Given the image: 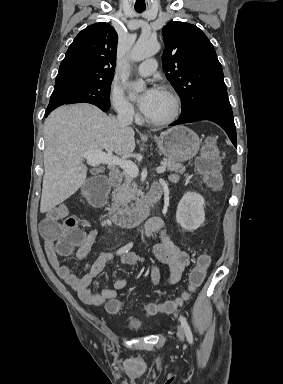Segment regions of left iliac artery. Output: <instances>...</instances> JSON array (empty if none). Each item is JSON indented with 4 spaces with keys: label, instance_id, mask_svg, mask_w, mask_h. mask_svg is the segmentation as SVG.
I'll use <instances>...</instances> for the list:
<instances>
[{
    "label": "left iliac artery",
    "instance_id": "left-iliac-artery-1",
    "mask_svg": "<svg viewBox=\"0 0 283 384\" xmlns=\"http://www.w3.org/2000/svg\"><path fill=\"white\" fill-rule=\"evenodd\" d=\"M183 328H184V331H185V334H186V338L188 340V342L190 344L193 343V335H192V332H191V329H190V326L186 320V318L184 316H180L179 318Z\"/></svg>",
    "mask_w": 283,
    "mask_h": 384
}]
</instances>
